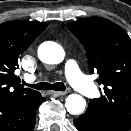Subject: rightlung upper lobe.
I'll return each instance as SVG.
<instances>
[{
  "label": "right lung upper lobe",
  "instance_id": "cb5924a9",
  "mask_svg": "<svg viewBox=\"0 0 131 131\" xmlns=\"http://www.w3.org/2000/svg\"><path fill=\"white\" fill-rule=\"evenodd\" d=\"M46 27L45 23L30 21L0 24V99H18L39 93L23 88L14 72L19 68L20 55Z\"/></svg>",
  "mask_w": 131,
  "mask_h": 131
}]
</instances>
